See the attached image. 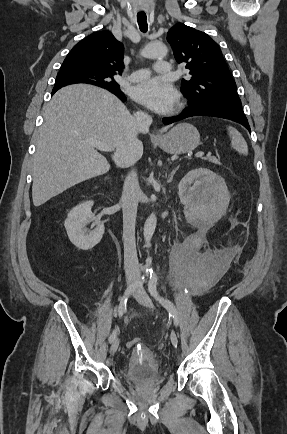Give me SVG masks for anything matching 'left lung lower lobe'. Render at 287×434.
I'll return each mask as SVG.
<instances>
[{
    "label": "left lung lower lobe",
    "mask_w": 287,
    "mask_h": 434,
    "mask_svg": "<svg viewBox=\"0 0 287 434\" xmlns=\"http://www.w3.org/2000/svg\"><path fill=\"white\" fill-rule=\"evenodd\" d=\"M192 116H214L225 118L240 123L246 127L249 132L250 126L248 120L242 110L241 103H222L218 105L210 104H195L189 105L181 114L174 117L164 118L163 123L168 125L173 122L192 117Z\"/></svg>",
    "instance_id": "0a47b994"
}]
</instances>
